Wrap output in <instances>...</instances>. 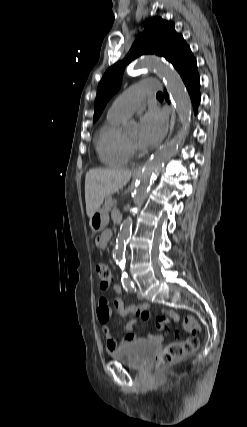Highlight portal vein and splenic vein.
Here are the masks:
<instances>
[{"instance_id": "1", "label": "portal vein and splenic vein", "mask_w": 247, "mask_h": 427, "mask_svg": "<svg viewBox=\"0 0 247 427\" xmlns=\"http://www.w3.org/2000/svg\"><path fill=\"white\" fill-rule=\"evenodd\" d=\"M117 200H114V203L116 204Z\"/></svg>"}]
</instances>
